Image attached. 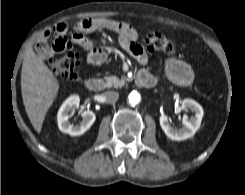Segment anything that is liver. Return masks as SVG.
<instances>
[{
  "instance_id": "6515ba94",
  "label": "liver",
  "mask_w": 245,
  "mask_h": 195,
  "mask_svg": "<svg viewBox=\"0 0 245 195\" xmlns=\"http://www.w3.org/2000/svg\"><path fill=\"white\" fill-rule=\"evenodd\" d=\"M59 82L52 71L29 48L22 64L21 92L26 113L36 132L40 133L46 113L59 91Z\"/></svg>"
}]
</instances>
